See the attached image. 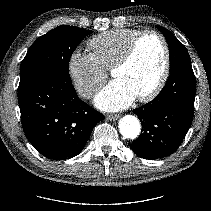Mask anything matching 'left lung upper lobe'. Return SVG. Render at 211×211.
I'll list each match as a JSON object with an SVG mask.
<instances>
[{
    "mask_svg": "<svg viewBox=\"0 0 211 211\" xmlns=\"http://www.w3.org/2000/svg\"><path fill=\"white\" fill-rule=\"evenodd\" d=\"M166 37L169 53H170V70L181 63L191 62L185 46L167 29L157 25L156 26Z\"/></svg>",
    "mask_w": 211,
    "mask_h": 211,
    "instance_id": "5c2ea615",
    "label": "left lung upper lobe"
}]
</instances>
